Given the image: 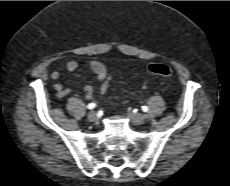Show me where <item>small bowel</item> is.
Listing matches in <instances>:
<instances>
[{"mask_svg":"<svg viewBox=\"0 0 230 186\" xmlns=\"http://www.w3.org/2000/svg\"><path fill=\"white\" fill-rule=\"evenodd\" d=\"M79 68V63L75 60L69 61L66 64V70L68 72H74ZM90 68L94 72L97 81L101 84V90L105 91L107 88L108 73L105 65L100 61L93 60L90 62ZM60 71L54 70L51 73V78L53 80H58L60 78ZM54 89L56 91V96L58 98H63L71 92L70 88L64 87L61 83L57 82L54 84ZM84 97L86 99H92L95 93V88L92 85H86L83 88Z\"/></svg>","mask_w":230,"mask_h":186,"instance_id":"1","label":"small bowel"}]
</instances>
